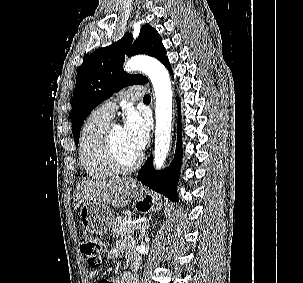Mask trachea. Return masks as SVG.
<instances>
[{
    "mask_svg": "<svg viewBox=\"0 0 303 283\" xmlns=\"http://www.w3.org/2000/svg\"><path fill=\"white\" fill-rule=\"evenodd\" d=\"M143 101H151V97L149 95H145Z\"/></svg>",
    "mask_w": 303,
    "mask_h": 283,
    "instance_id": "1",
    "label": "trachea"
}]
</instances>
